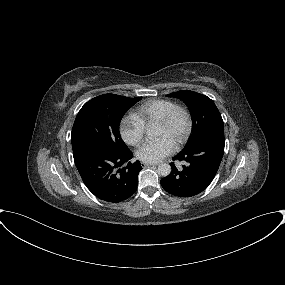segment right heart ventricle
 <instances>
[{
	"label": "right heart ventricle",
	"mask_w": 285,
	"mask_h": 285,
	"mask_svg": "<svg viewBox=\"0 0 285 285\" xmlns=\"http://www.w3.org/2000/svg\"><path fill=\"white\" fill-rule=\"evenodd\" d=\"M175 106H177V104L171 100H149L136 108L135 115L144 125H149L153 122H158Z\"/></svg>",
	"instance_id": "obj_1"
}]
</instances>
